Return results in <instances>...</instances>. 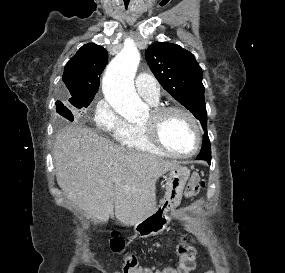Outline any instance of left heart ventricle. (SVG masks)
Instances as JSON below:
<instances>
[{"label": "left heart ventricle", "instance_id": "left-heart-ventricle-1", "mask_svg": "<svg viewBox=\"0 0 285 273\" xmlns=\"http://www.w3.org/2000/svg\"><path fill=\"white\" fill-rule=\"evenodd\" d=\"M152 120L151 112L143 123ZM159 134L164 144L178 153H189L195 146V129L190 120L181 113L171 112L159 123Z\"/></svg>", "mask_w": 285, "mask_h": 273}]
</instances>
